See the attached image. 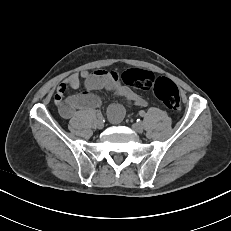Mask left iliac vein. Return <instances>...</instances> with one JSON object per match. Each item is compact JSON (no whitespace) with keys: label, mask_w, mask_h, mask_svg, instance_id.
Masks as SVG:
<instances>
[{"label":"left iliac vein","mask_w":231,"mask_h":231,"mask_svg":"<svg viewBox=\"0 0 231 231\" xmlns=\"http://www.w3.org/2000/svg\"><path fill=\"white\" fill-rule=\"evenodd\" d=\"M132 129L137 133H141L143 131L144 127L141 123H134L132 125Z\"/></svg>","instance_id":"4c4485c4"}]
</instances>
